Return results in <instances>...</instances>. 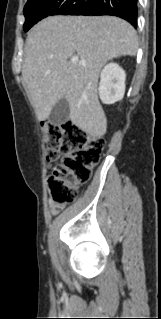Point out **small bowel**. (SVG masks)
<instances>
[{
	"label": "small bowel",
	"instance_id": "obj_1",
	"mask_svg": "<svg viewBox=\"0 0 161 319\" xmlns=\"http://www.w3.org/2000/svg\"><path fill=\"white\" fill-rule=\"evenodd\" d=\"M50 205H51V207H53L54 205H53V203H52V201H50Z\"/></svg>",
	"mask_w": 161,
	"mask_h": 319
}]
</instances>
